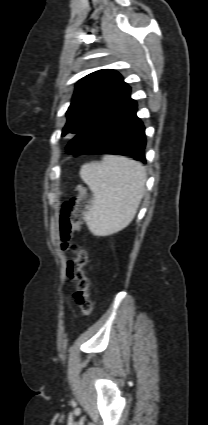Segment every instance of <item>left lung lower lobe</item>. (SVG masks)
Masks as SVG:
<instances>
[{
  "mask_svg": "<svg viewBox=\"0 0 208 425\" xmlns=\"http://www.w3.org/2000/svg\"><path fill=\"white\" fill-rule=\"evenodd\" d=\"M127 87L75 137L83 154H116L146 162L145 128Z\"/></svg>",
  "mask_w": 208,
  "mask_h": 425,
  "instance_id": "0a47b994",
  "label": "left lung lower lobe"
}]
</instances>
